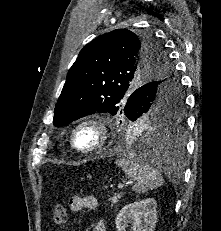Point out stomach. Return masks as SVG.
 Returning a JSON list of instances; mask_svg holds the SVG:
<instances>
[{
	"mask_svg": "<svg viewBox=\"0 0 221 231\" xmlns=\"http://www.w3.org/2000/svg\"><path fill=\"white\" fill-rule=\"evenodd\" d=\"M132 129L131 130H134L135 129V127H131ZM148 127H147V125L146 124H142V125H139L138 126V129L139 130H142V131H144V130H146Z\"/></svg>",
	"mask_w": 221,
	"mask_h": 231,
	"instance_id": "obj_1",
	"label": "stomach"
}]
</instances>
